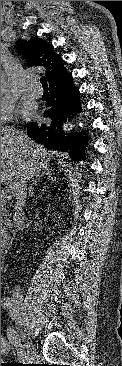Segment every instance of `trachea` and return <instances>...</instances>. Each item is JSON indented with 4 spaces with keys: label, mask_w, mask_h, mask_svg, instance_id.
<instances>
[{
    "label": "trachea",
    "mask_w": 122,
    "mask_h": 366,
    "mask_svg": "<svg viewBox=\"0 0 122 366\" xmlns=\"http://www.w3.org/2000/svg\"><path fill=\"white\" fill-rule=\"evenodd\" d=\"M40 83L43 85V87H47V80L45 76L40 77Z\"/></svg>",
    "instance_id": "trachea-1"
}]
</instances>
